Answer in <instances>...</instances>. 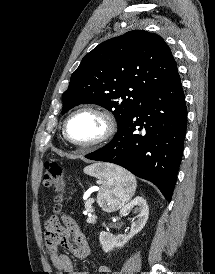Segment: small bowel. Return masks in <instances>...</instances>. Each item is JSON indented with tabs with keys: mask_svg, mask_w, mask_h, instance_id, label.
I'll list each match as a JSON object with an SVG mask.
<instances>
[{
	"mask_svg": "<svg viewBox=\"0 0 215 274\" xmlns=\"http://www.w3.org/2000/svg\"><path fill=\"white\" fill-rule=\"evenodd\" d=\"M45 240L56 274H88L86 271H75L70 257L58 253L59 248H64L78 259L87 258L91 249L85 235L81 232L77 223L69 216L63 217V223L56 218L46 222ZM99 273H109L110 268L100 265Z\"/></svg>",
	"mask_w": 215,
	"mask_h": 274,
	"instance_id": "obj_1",
	"label": "small bowel"
}]
</instances>
